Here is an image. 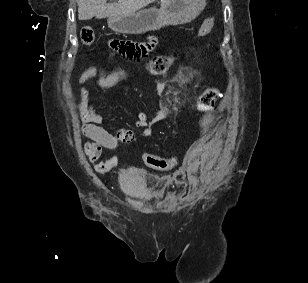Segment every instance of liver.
I'll use <instances>...</instances> for the list:
<instances>
[{
    "label": "liver",
    "mask_w": 308,
    "mask_h": 283,
    "mask_svg": "<svg viewBox=\"0 0 308 283\" xmlns=\"http://www.w3.org/2000/svg\"><path fill=\"white\" fill-rule=\"evenodd\" d=\"M156 0H117L108 4L107 0H77L78 19L89 20L93 17L125 16L135 13Z\"/></svg>",
    "instance_id": "6515ba94"
}]
</instances>
